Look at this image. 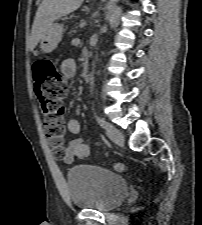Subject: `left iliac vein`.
<instances>
[{
	"mask_svg": "<svg viewBox=\"0 0 202 225\" xmlns=\"http://www.w3.org/2000/svg\"><path fill=\"white\" fill-rule=\"evenodd\" d=\"M106 133L108 137L111 139V141L114 142L115 144L120 146L124 144V137L120 130L112 126L111 128L106 129Z\"/></svg>",
	"mask_w": 202,
	"mask_h": 225,
	"instance_id": "1",
	"label": "left iliac vein"
}]
</instances>
